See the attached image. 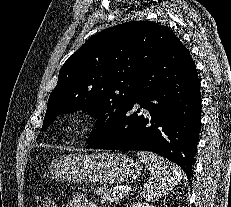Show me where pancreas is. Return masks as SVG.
I'll return each mask as SVG.
<instances>
[{
  "label": "pancreas",
  "instance_id": "1",
  "mask_svg": "<svg viewBox=\"0 0 231 207\" xmlns=\"http://www.w3.org/2000/svg\"><path fill=\"white\" fill-rule=\"evenodd\" d=\"M102 203L110 204L118 202V191L108 187H100L96 191Z\"/></svg>",
  "mask_w": 231,
  "mask_h": 207
}]
</instances>
